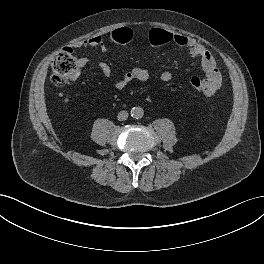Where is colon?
Masks as SVG:
<instances>
[{
	"label": "colon",
	"mask_w": 264,
	"mask_h": 264,
	"mask_svg": "<svg viewBox=\"0 0 264 264\" xmlns=\"http://www.w3.org/2000/svg\"><path fill=\"white\" fill-rule=\"evenodd\" d=\"M132 39V32L127 27L115 29L109 35V41L116 45L128 44ZM152 46L159 47L171 42V33L162 28H152L148 35ZM51 82L56 86H63L70 81L76 80L81 72L79 60L74 57L71 48H63L55 56L52 62ZM190 86L199 92L206 94L208 84L204 79L192 77L189 81Z\"/></svg>",
	"instance_id": "5ec220e1"
}]
</instances>
